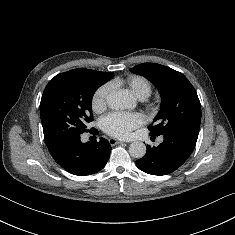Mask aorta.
<instances>
[{"mask_svg":"<svg viewBox=\"0 0 235 235\" xmlns=\"http://www.w3.org/2000/svg\"><path fill=\"white\" fill-rule=\"evenodd\" d=\"M107 104L112 110H124L131 106L128 97L121 92L110 94L107 97ZM129 153L132 157L140 159L146 154V146L140 141L133 142L129 146Z\"/></svg>","mask_w":235,"mask_h":235,"instance_id":"obj_1","label":"aorta"}]
</instances>
